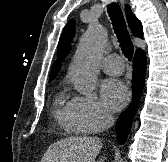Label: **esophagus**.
Returning <instances> with one entry per match:
<instances>
[{
    "mask_svg": "<svg viewBox=\"0 0 168 162\" xmlns=\"http://www.w3.org/2000/svg\"><path fill=\"white\" fill-rule=\"evenodd\" d=\"M122 4H124V0H120Z\"/></svg>",
    "mask_w": 168,
    "mask_h": 162,
    "instance_id": "esophagus-1",
    "label": "esophagus"
}]
</instances>
